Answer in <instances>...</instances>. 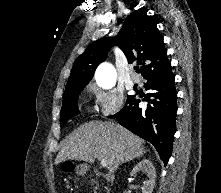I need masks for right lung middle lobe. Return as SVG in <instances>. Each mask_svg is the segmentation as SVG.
I'll list each match as a JSON object with an SVG mask.
<instances>
[{
	"label": "right lung middle lobe",
	"mask_w": 221,
	"mask_h": 193,
	"mask_svg": "<svg viewBox=\"0 0 221 193\" xmlns=\"http://www.w3.org/2000/svg\"><path fill=\"white\" fill-rule=\"evenodd\" d=\"M85 86H73L66 88L63 96V104L60 116V125L63 126L70 118L79 113L77 99ZM131 96H128L129 99Z\"/></svg>",
	"instance_id": "obj_1"
}]
</instances>
